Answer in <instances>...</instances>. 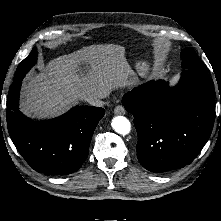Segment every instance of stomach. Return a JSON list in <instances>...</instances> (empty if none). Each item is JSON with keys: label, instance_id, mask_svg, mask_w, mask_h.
<instances>
[{"label": "stomach", "instance_id": "stomach-1", "mask_svg": "<svg viewBox=\"0 0 221 221\" xmlns=\"http://www.w3.org/2000/svg\"><path fill=\"white\" fill-rule=\"evenodd\" d=\"M137 70L140 74H143V72H145V70H146V64L145 63H139L137 65Z\"/></svg>", "mask_w": 221, "mask_h": 221}]
</instances>
